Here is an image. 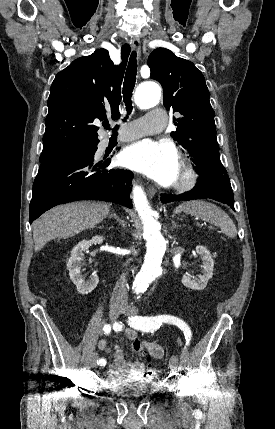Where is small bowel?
Segmentation results:
<instances>
[{"mask_svg":"<svg viewBox=\"0 0 275 429\" xmlns=\"http://www.w3.org/2000/svg\"><path fill=\"white\" fill-rule=\"evenodd\" d=\"M125 335L129 340L138 343L141 349H145L148 354L155 358L161 359L164 356V349L155 342L140 341L137 339L136 332L134 329L128 328L125 330ZM99 349L104 350L108 353H112L113 362L108 366V372L114 376L116 373L122 372L129 375H136L143 371L144 364L139 361H126L124 351L122 348L115 346L113 349L110 347L106 340H100L98 344Z\"/></svg>","mask_w":275,"mask_h":429,"instance_id":"small-bowel-1","label":"small bowel"}]
</instances>
